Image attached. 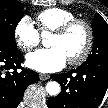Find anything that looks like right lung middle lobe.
<instances>
[{"mask_svg": "<svg viewBox=\"0 0 108 108\" xmlns=\"http://www.w3.org/2000/svg\"><path fill=\"white\" fill-rule=\"evenodd\" d=\"M24 4L16 0H0V45L17 48L15 28L22 19Z\"/></svg>", "mask_w": 108, "mask_h": 108, "instance_id": "dd1d6c3e", "label": "right lung middle lobe"}]
</instances>
